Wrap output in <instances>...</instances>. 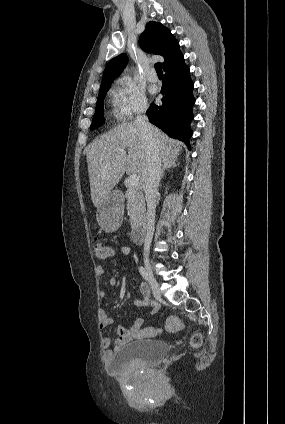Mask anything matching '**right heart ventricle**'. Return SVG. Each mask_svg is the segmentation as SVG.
<instances>
[{
    "mask_svg": "<svg viewBox=\"0 0 285 424\" xmlns=\"http://www.w3.org/2000/svg\"><path fill=\"white\" fill-rule=\"evenodd\" d=\"M111 114H112V116H114L115 118L120 119V116H119V114H118V112H117L116 108H114V109L112 110Z\"/></svg>",
    "mask_w": 285,
    "mask_h": 424,
    "instance_id": "obj_1",
    "label": "right heart ventricle"
}]
</instances>
